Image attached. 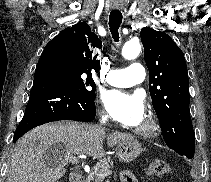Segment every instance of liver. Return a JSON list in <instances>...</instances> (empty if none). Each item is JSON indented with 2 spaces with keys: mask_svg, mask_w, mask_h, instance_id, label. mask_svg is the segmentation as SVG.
Returning a JSON list of instances; mask_svg holds the SVG:
<instances>
[{
  "mask_svg": "<svg viewBox=\"0 0 211 182\" xmlns=\"http://www.w3.org/2000/svg\"><path fill=\"white\" fill-rule=\"evenodd\" d=\"M105 135V129L99 126L78 122L38 126L20 138L12 150L7 182H57L66 173L67 153L104 156ZM127 138L131 136L111 133L107 136V145L114 147ZM56 144L63 149L62 158L46 160L45 153Z\"/></svg>",
  "mask_w": 211,
  "mask_h": 182,
  "instance_id": "liver-1",
  "label": "liver"
}]
</instances>
